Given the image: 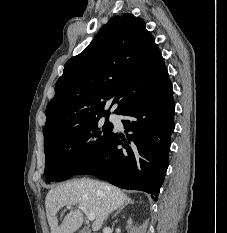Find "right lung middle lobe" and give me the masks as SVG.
<instances>
[{
  "label": "right lung middle lobe",
  "instance_id": "obj_1",
  "mask_svg": "<svg viewBox=\"0 0 227 233\" xmlns=\"http://www.w3.org/2000/svg\"><path fill=\"white\" fill-rule=\"evenodd\" d=\"M113 133V125L100 118L79 125L45 145V177L63 181L76 175L100 153Z\"/></svg>",
  "mask_w": 227,
  "mask_h": 233
}]
</instances>
